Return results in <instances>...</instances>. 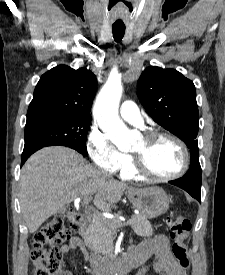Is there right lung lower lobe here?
<instances>
[{
	"label": "right lung lower lobe",
	"mask_w": 225,
	"mask_h": 275,
	"mask_svg": "<svg viewBox=\"0 0 225 275\" xmlns=\"http://www.w3.org/2000/svg\"><path fill=\"white\" fill-rule=\"evenodd\" d=\"M37 150L38 149H31V150L23 151L22 158H21V166L25 163V161L29 158V156Z\"/></svg>",
	"instance_id": "obj_1"
}]
</instances>
